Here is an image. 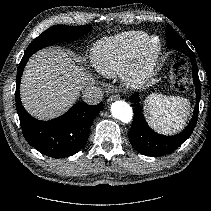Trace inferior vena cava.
Here are the masks:
<instances>
[{
	"label": "inferior vena cava",
	"instance_id": "inferior-vena-cava-1",
	"mask_svg": "<svg viewBox=\"0 0 211 211\" xmlns=\"http://www.w3.org/2000/svg\"><path fill=\"white\" fill-rule=\"evenodd\" d=\"M83 100L90 105L98 104L103 98V91L96 86H87L82 91Z\"/></svg>",
	"mask_w": 211,
	"mask_h": 211
}]
</instances>
